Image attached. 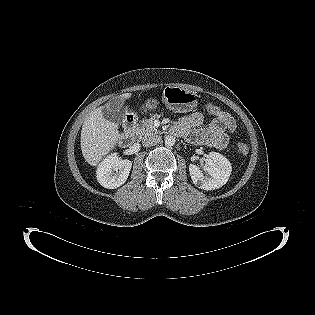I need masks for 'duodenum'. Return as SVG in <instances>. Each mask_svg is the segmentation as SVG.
Instances as JSON below:
<instances>
[{"label": "duodenum", "instance_id": "duodenum-1", "mask_svg": "<svg viewBox=\"0 0 315 315\" xmlns=\"http://www.w3.org/2000/svg\"><path fill=\"white\" fill-rule=\"evenodd\" d=\"M136 117L133 114H127L123 121V131L119 136L118 143L122 147L128 146L133 138L136 126Z\"/></svg>", "mask_w": 315, "mask_h": 315}]
</instances>
